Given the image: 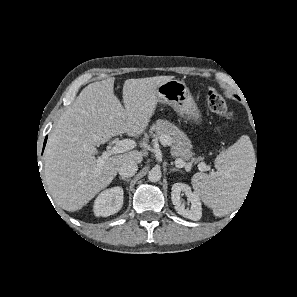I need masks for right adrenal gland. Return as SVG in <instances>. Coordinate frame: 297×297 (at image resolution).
<instances>
[{
    "instance_id": "right-adrenal-gland-1",
    "label": "right adrenal gland",
    "mask_w": 297,
    "mask_h": 297,
    "mask_svg": "<svg viewBox=\"0 0 297 297\" xmlns=\"http://www.w3.org/2000/svg\"><path fill=\"white\" fill-rule=\"evenodd\" d=\"M120 179H121V180H124V181H126V182H129V181H130V178L127 179V178H124V177H120Z\"/></svg>"
}]
</instances>
